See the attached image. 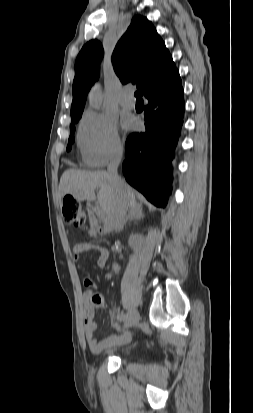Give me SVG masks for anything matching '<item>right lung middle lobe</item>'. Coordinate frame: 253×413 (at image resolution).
<instances>
[{
  "label": "right lung middle lobe",
  "mask_w": 253,
  "mask_h": 413,
  "mask_svg": "<svg viewBox=\"0 0 253 413\" xmlns=\"http://www.w3.org/2000/svg\"><path fill=\"white\" fill-rule=\"evenodd\" d=\"M80 118H81V117H78V118H76V119H73V120H71V122H72V123H77ZM74 131H75V127H74L73 125H70V132H71V134H72ZM73 142H74V136L71 135V136L69 137V140H68V146H67V150H68V151L71 149V144H72Z\"/></svg>",
  "instance_id": "dd1d6c3e"
}]
</instances>
